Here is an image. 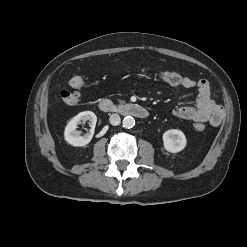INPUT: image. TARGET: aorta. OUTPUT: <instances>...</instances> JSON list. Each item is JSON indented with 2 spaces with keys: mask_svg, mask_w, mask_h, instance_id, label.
I'll use <instances>...</instances> for the list:
<instances>
[{
  "mask_svg": "<svg viewBox=\"0 0 247 247\" xmlns=\"http://www.w3.org/2000/svg\"><path fill=\"white\" fill-rule=\"evenodd\" d=\"M123 127L126 128V129H130L132 127H134L135 125V120L133 117L131 116H126L124 119H123Z\"/></svg>",
  "mask_w": 247,
  "mask_h": 247,
  "instance_id": "762f6f07",
  "label": "aorta"
}]
</instances>
